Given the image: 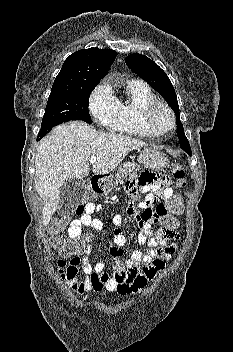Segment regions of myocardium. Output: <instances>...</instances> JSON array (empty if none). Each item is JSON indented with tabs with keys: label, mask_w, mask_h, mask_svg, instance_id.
<instances>
[{
	"label": "myocardium",
	"mask_w": 233,
	"mask_h": 352,
	"mask_svg": "<svg viewBox=\"0 0 233 352\" xmlns=\"http://www.w3.org/2000/svg\"><path fill=\"white\" fill-rule=\"evenodd\" d=\"M158 109H163L168 114L170 119L169 125L162 129H157L154 123V115ZM141 120L144 128L152 137H160L172 131L175 127V115L172 109L166 103L159 100H154L144 107Z\"/></svg>",
	"instance_id": "f54148a6"
}]
</instances>
